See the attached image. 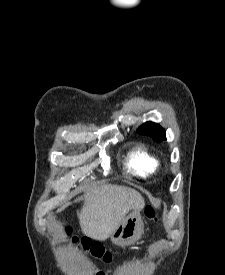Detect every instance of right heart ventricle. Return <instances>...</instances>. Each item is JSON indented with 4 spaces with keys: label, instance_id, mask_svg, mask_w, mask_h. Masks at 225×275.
Segmentation results:
<instances>
[{
    "label": "right heart ventricle",
    "instance_id": "e07e8e85",
    "mask_svg": "<svg viewBox=\"0 0 225 275\" xmlns=\"http://www.w3.org/2000/svg\"><path fill=\"white\" fill-rule=\"evenodd\" d=\"M126 166L134 174L141 177H148L157 171L159 161L144 147L137 146L128 153Z\"/></svg>",
    "mask_w": 225,
    "mask_h": 275
}]
</instances>
